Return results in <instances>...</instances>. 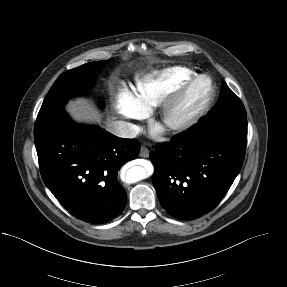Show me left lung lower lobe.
Wrapping results in <instances>:
<instances>
[{
  "instance_id": "obj_1",
  "label": "left lung lower lobe",
  "mask_w": 287,
  "mask_h": 287,
  "mask_svg": "<svg viewBox=\"0 0 287 287\" xmlns=\"http://www.w3.org/2000/svg\"><path fill=\"white\" fill-rule=\"evenodd\" d=\"M247 136L214 130L200 120L150 153L153 185L174 218L192 220L211 211L229 190L243 164Z\"/></svg>"
}]
</instances>
